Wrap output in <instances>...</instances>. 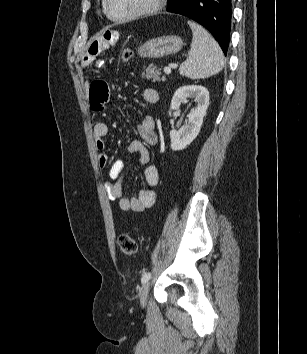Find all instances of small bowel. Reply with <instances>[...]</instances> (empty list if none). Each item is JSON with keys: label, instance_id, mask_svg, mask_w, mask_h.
Returning a JSON list of instances; mask_svg holds the SVG:
<instances>
[{"label": "small bowel", "instance_id": "small-bowel-1", "mask_svg": "<svg viewBox=\"0 0 307 354\" xmlns=\"http://www.w3.org/2000/svg\"><path fill=\"white\" fill-rule=\"evenodd\" d=\"M119 34L116 30H107L102 36L93 41L81 59V68H89L96 61L97 55L105 48L117 43ZM89 92L91 106L94 110H102L107 102L108 87L102 80H95L91 84H86ZM159 95L154 89H145L142 92V100L147 104H154L158 101ZM108 125L105 122H97L93 128V135L98 151V161L100 167H105L108 163L104 138L108 135ZM138 131L142 141L134 140L130 143L128 150L130 153H139L140 161L146 165L144 176L149 188L143 189L138 196L128 198L123 195V180L125 177V162L123 160L114 161L109 169L110 180L105 182V189L110 200H117L119 207L123 211L142 212L152 207L156 201L154 187L159 183V172L154 165H149V152L145 144L154 145L158 141V134L154 118L145 115L138 126Z\"/></svg>", "mask_w": 307, "mask_h": 354}]
</instances>
